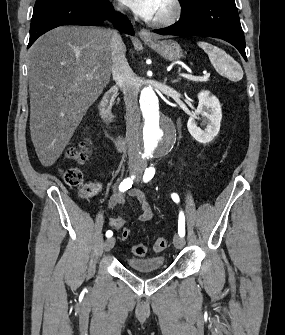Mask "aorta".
<instances>
[{
	"label": "aorta",
	"mask_w": 285,
	"mask_h": 335,
	"mask_svg": "<svg viewBox=\"0 0 285 335\" xmlns=\"http://www.w3.org/2000/svg\"><path fill=\"white\" fill-rule=\"evenodd\" d=\"M136 97H139V107L145 117L143 125L136 127L138 147L147 160H159L160 156L172 152L179 136L174 119H166V95H159V90L144 88L136 90Z\"/></svg>",
	"instance_id": "obj_1"
}]
</instances>
